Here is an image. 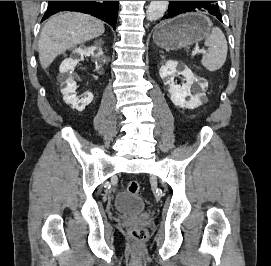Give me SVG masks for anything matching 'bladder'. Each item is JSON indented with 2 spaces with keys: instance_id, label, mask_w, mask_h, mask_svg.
<instances>
[{
  "instance_id": "1",
  "label": "bladder",
  "mask_w": 271,
  "mask_h": 266,
  "mask_svg": "<svg viewBox=\"0 0 271 266\" xmlns=\"http://www.w3.org/2000/svg\"><path fill=\"white\" fill-rule=\"evenodd\" d=\"M145 203L142 198L129 192L119 194L114 201V209L119 213L134 216L143 211Z\"/></svg>"
}]
</instances>
